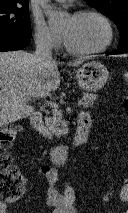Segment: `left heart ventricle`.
Returning a JSON list of instances; mask_svg holds the SVG:
<instances>
[{
	"mask_svg": "<svg viewBox=\"0 0 128 213\" xmlns=\"http://www.w3.org/2000/svg\"><path fill=\"white\" fill-rule=\"evenodd\" d=\"M68 42L78 49H95L107 38L105 24L95 16L68 18L61 29Z\"/></svg>",
	"mask_w": 128,
	"mask_h": 213,
	"instance_id": "left-heart-ventricle-1",
	"label": "left heart ventricle"
}]
</instances>
